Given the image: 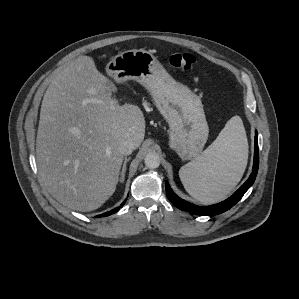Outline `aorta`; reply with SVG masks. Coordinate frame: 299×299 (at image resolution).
<instances>
[{
  "mask_svg": "<svg viewBox=\"0 0 299 299\" xmlns=\"http://www.w3.org/2000/svg\"><path fill=\"white\" fill-rule=\"evenodd\" d=\"M144 162L147 168L156 169L160 165V157L157 153H148Z\"/></svg>",
  "mask_w": 299,
  "mask_h": 299,
  "instance_id": "aorta-1",
  "label": "aorta"
}]
</instances>
